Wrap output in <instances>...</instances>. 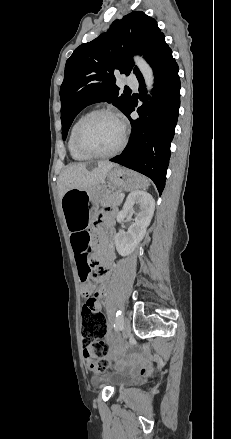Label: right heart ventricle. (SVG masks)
I'll return each mask as SVG.
<instances>
[{
	"instance_id": "obj_1",
	"label": "right heart ventricle",
	"mask_w": 231,
	"mask_h": 439,
	"mask_svg": "<svg viewBox=\"0 0 231 439\" xmlns=\"http://www.w3.org/2000/svg\"><path fill=\"white\" fill-rule=\"evenodd\" d=\"M89 113H90V112L87 111V112L81 114V115L76 119V121L73 123V125H72V127H71V129H70V133H69V137H68L67 146H68V150H69V153H70L71 157H72L74 160H77V161H85V160L88 159L85 155H83L82 153H80V152L76 149V147H75V145H74V132H75V129H76L77 125L79 124V122H80L85 116H87Z\"/></svg>"
}]
</instances>
